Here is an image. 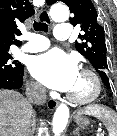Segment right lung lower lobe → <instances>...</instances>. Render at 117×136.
Instances as JSON below:
<instances>
[{
	"mask_svg": "<svg viewBox=\"0 0 117 136\" xmlns=\"http://www.w3.org/2000/svg\"><path fill=\"white\" fill-rule=\"evenodd\" d=\"M24 68L17 72H0V89H19L23 83Z\"/></svg>",
	"mask_w": 117,
	"mask_h": 136,
	"instance_id": "1",
	"label": "right lung lower lobe"
}]
</instances>
